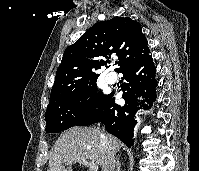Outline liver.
Wrapping results in <instances>:
<instances>
[{
    "label": "liver",
    "mask_w": 199,
    "mask_h": 171,
    "mask_svg": "<svg viewBox=\"0 0 199 171\" xmlns=\"http://www.w3.org/2000/svg\"><path fill=\"white\" fill-rule=\"evenodd\" d=\"M97 128L74 127L65 131L52 148L49 171H73L72 164L89 159L104 171L108 153L117 152L122 142L111 135L102 136ZM64 164L70 165L68 168Z\"/></svg>",
    "instance_id": "1"
}]
</instances>
